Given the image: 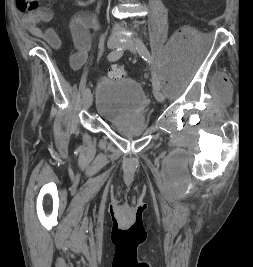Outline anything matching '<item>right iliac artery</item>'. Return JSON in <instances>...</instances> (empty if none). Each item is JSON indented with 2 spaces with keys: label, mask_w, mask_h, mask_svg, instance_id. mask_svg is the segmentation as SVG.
I'll return each instance as SVG.
<instances>
[{
  "label": "right iliac artery",
  "mask_w": 253,
  "mask_h": 267,
  "mask_svg": "<svg viewBox=\"0 0 253 267\" xmlns=\"http://www.w3.org/2000/svg\"><path fill=\"white\" fill-rule=\"evenodd\" d=\"M123 55V49L122 48H118L117 50L112 51L111 53H109L108 55V60L109 61H117L118 59H120ZM90 92L89 88H85L83 90V96L87 95Z\"/></svg>",
  "instance_id": "right-iliac-artery-1"
}]
</instances>
